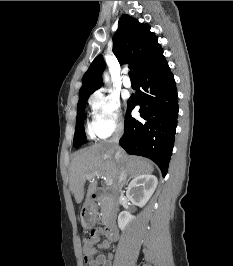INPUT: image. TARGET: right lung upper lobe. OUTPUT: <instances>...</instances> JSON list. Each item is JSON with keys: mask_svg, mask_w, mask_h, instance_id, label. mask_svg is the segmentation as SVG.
Returning <instances> with one entry per match:
<instances>
[{"mask_svg": "<svg viewBox=\"0 0 233 266\" xmlns=\"http://www.w3.org/2000/svg\"><path fill=\"white\" fill-rule=\"evenodd\" d=\"M113 43V53L119 63L121 65L129 63L136 76L163 55L157 36L150 32V26L139 23L129 15H122L119 19ZM104 68V59L99 55L83 76L79 99L89 97L101 87V74Z\"/></svg>", "mask_w": 233, "mask_h": 266, "instance_id": "obj_1", "label": "right lung upper lobe"}]
</instances>
